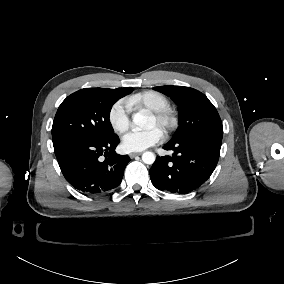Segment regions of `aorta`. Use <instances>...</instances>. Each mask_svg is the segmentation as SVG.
Wrapping results in <instances>:
<instances>
[{
    "label": "aorta",
    "mask_w": 284,
    "mask_h": 284,
    "mask_svg": "<svg viewBox=\"0 0 284 284\" xmlns=\"http://www.w3.org/2000/svg\"><path fill=\"white\" fill-rule=\"evenodd\" d=\"M133 123L140 128L148 129L151 126V118L144 110H140L133 115ZM155 159V155L150 151L142 154V161L145 164L151 165L155 162Z\"/></svg>",
    "instance_id": "1"
}]
</instances>
